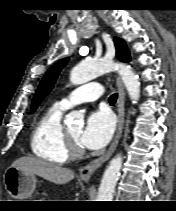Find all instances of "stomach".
Returning a JSON list of instances; mask_svg holds the SVG:
<instances>
[{
	"label": "stomach",
	"instance_id": "0dacf381",
	"mask_svg": "<svg viewBox=\"0 0 176 211\" xmlns=\"http://www.w3.org/2000/svg\"><path fill=\"white\" fill-rule=\"evenodd\" d=\"M4 183L10 196L15 199H28L35 191L37 179L34 174L9 167L4 174Z\"/></svg>",
	"mask_w": 176,
	"mask_h": 211
}]
</instances>
